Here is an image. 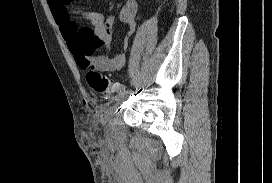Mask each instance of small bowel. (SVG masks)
Segmentation results:
<instances>
[{"mask_svg": "<svg viewBox=\"0 0 272 183\" xmlns=\"http://www.w3.org/2000/svg\"><path fill=\"white\" fill-rule=\"evenodd\" d=\"M54 20L59 25L70 52L78 66L87 69L90 66L107 72L120 71L125 65L124 52L128 48V40H124L122 53L110 54L111 33L105 24L103 14L97 11H82L75 0H48ZM85 19L90 26L81 25L79 19ZM119 18L129 26V34H133L139 22V5L137 0H125L119 11ZM99 47L108 52L93 55Z\"/></svg>", "mask_w": 272, "mask_h": 183, "instance_id": "small-bowel-1", "label": "small bowel"}]
</instances>
